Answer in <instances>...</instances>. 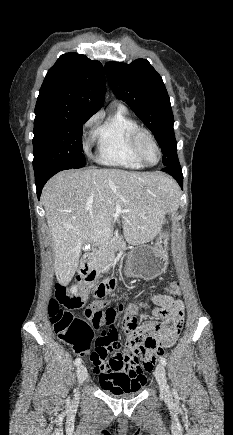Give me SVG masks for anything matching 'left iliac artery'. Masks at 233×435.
I'll use <instances>...</instances> for the list:
<instances>
[{
    "mask_svg": "<svg viewBox=\"0 0 233 435\" xmlns=\"http://www.w3.org/2000/svg\"><path fill=\"white\" fill-rule=\"evenodd\" d=\"M160 362L161 364H163L164 366L167 364V360L164 357H160Z\"/></svg>",
    "mask_w": 233,
    "mask_h": 435,
    "instance_id": "44dca946",
    "label": "left iliac artery"
}]
</instances>
